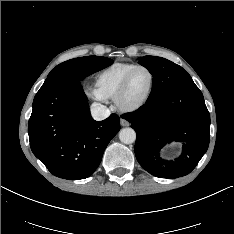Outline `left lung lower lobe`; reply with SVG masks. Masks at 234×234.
Here are the masks:
<instances>
[{
  "instance_id": "obj_1",
  "label": "left lung lower lobe",
  "mask_w": 234,
  "mask_h": 234,
  "mask_svg": "<svg viewBox=\"0 0 234 234\" xmlns=\"http://www.w3.org/2000/svg\"><path fill=\"white\" fill-rule=\"evenodd\" d=\"M123 118L136 131L135 155L139 164L156 177L173 179L189 174L208 149L210 115L192 79L148 99ZM171 141L184 143L182 156L174 162L159 155L160 149Z\"/></svg>"
}]
</instances>
